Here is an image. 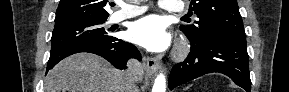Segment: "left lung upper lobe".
<instances>
[{"label":"left lung upper lobe","instance_id":"obj_1","mask_svg":"<svg viewBox=\"0 0 289 92\" xmlns=\"http://www.w3.org/2000/svg\"><path fill=\"white\" fill-rule=\"evenodd\" d=\"M191 11L199 21L194 25H181L182 30L194 45L218 33H231L245 36L243 21L236 0H192Z\"/></svg>","mask_w":289,"mask_h":92}]
</instances>
